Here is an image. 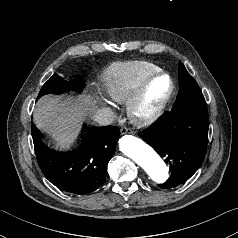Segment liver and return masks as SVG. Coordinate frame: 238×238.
Segmentation results:
<instances>
[{
  "mask_svg": "<svg viewBox=\"0 0 238 238\" xmlns=\"http://www.w3.org/2000/svg\"><path fill=\"white\" fill-rule=\"evenodd\" d=\"M94 112L95 104L89 96L60 99L47 95L38 100L33 119L58 146L69 147L78 138L87 114Z\"/></svg>",
  "mask_w": 238,
  "mask_h": 238,
  "instance_id": "1",
  "label": "liver"
}]
</instances>
